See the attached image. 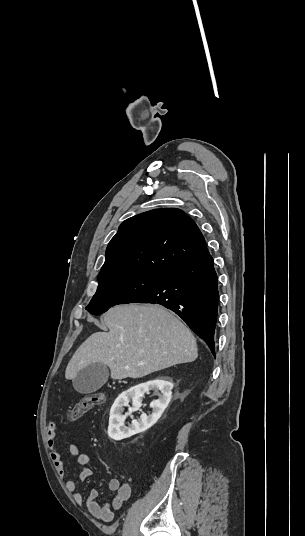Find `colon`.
<instances>
[{"label": "colon", "mask_w": 305, "mask_h": 536, "mask_svg": "<svg viewBox=\"0 0 305 536\" xmlns=\"http://www.w3.org/2000/svg\"><path fill=\"white\" fill-rule=\"evenodd\" d=\"M105 402V395L102 392H94L86 394L83 398L76 401V403L70 408L68 417L72 421L80 419L94 406L103 404Z\"/></svg>", "instance_id": "5ec220e1"}]
</instances>
